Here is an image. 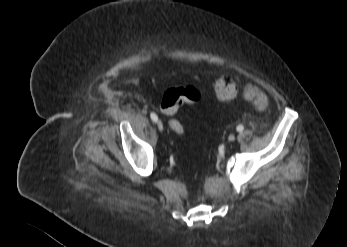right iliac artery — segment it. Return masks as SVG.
<instances>
[{"label": "right iliac artery", "instance_id": "82829eb1", "mask_svg": "<svg viewBox=\"0 0 347 247\" xmlns=\"http://www.w3.org/2000/svg\"><path fill=\"white\" fill-rule=\"evenodd\" d=\"M150 117H151L152 121H154V122L158 121V117H157V115L155 113H151Z\"/></svg>", "mask_w": 347, "mask_h": 247}]
</instances>
